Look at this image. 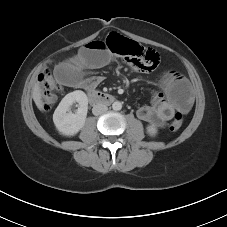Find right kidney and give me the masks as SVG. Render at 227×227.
Returning a JSON list of instances; mask_svg holds the SVG:
<instances>
[{
    "label": "right kidney",
    "mask_w": 227,
    "mask_h": 227,
    "mask_svg": "<svg viewBox=\"0 0 227 227\" xmlns=\"http://www.w3.org/2000/svg\"><path fill=\"white\" fill-rule=\"evenodd\" d=\"M78 103L75 113L71 112L73 103ZM88 111V98L81 90L68 93L53 114L56 129L65 136H74L84 126Z\"/></svg>",
    "instance_id": "ca27d5eb"
}]
</instances>
